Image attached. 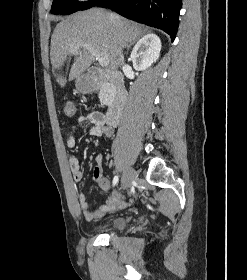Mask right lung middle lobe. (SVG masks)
<instances>
[{
	"mask_svg": "<svg viewBox=\"0 0 247 280\" xmlns=\"http://www.w3.org/2000/svg\"><path fill=\"white\" fill-rule=\"evenodd\" d=\"M101 0H90L87 2H76L73 0H54L51 8L52 14H62V15H69L79 10H86Z\"/></svg>",
	"mask_w": 247,
	"mask_h": 280,
	"instance_id": "obj_1",
	"label": "right lung middle lobe"
}]
</instances>
